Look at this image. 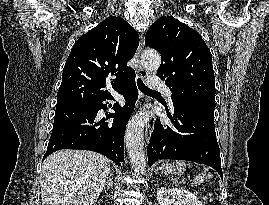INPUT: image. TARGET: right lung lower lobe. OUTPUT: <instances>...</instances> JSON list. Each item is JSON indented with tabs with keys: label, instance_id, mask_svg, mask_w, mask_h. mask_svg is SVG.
I'll list each match as a JSON object with an SVG mask.
<instances>
[{
	"label": "right lung lower lobe",
	"instance_id": "98d812e1",
	"mask_svg": "<svg viewBox=\"0 0 269 205\" xmlns=\"http://www.w3.org/2000/svg\"><path fill=\"white\" fill-rule=\"evenodd\" d=\"M120 89L126 104L123 108L114 107L115 113L106 117V120L113 117L112 123L97 122L98 111L107 108L103 101L111 99V95L87 104L56 107L53 130L43 159L60 149H82L101 153L120 165L124 161L125 127L138 98L134 77Z\"/></svg>",
	"mask_w": 269,
	"mask_h": 205
}]
</instances>
